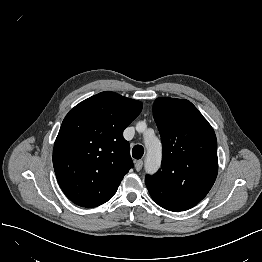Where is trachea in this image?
Segmentation results:
<instances>
[{
	"instance_id": "1",
	"label": "trachea",
	"mask_w": 262,
	"mask_h": 262,
	"mask_svg": "<svg viewBox=\"0 0 262 262\" xmlns=\"http://www.w3.org/2000/svg\"><path fill=\"white\" fill-rule=\"evenodd\" d=\"M144 154V148L141 145H136L132 149V156L135 159H140Z\"/></svg>"
}]
</instances>
